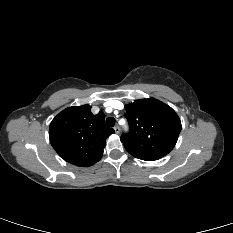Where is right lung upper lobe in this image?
I'll use <instances>...</instances> for the list:
<instances>
[{"mask_svg": "<svg viewBox=\"0 0 233 233\" xmlns=\"http://www.w3.org/2000/svg\"><path fill=\"white\" fill-rule=\"evenodd\" d=\"M104 119L103 112L93 115L90 105L66 108L50 124L51 145L65 161L89 167L101 159L106 139L114 133Z\"/></svg>", "mask_w": 233, "mask_h": 233, "instance_id": "obj_1", "label": "right lung upper lobe"}]
</instances>
